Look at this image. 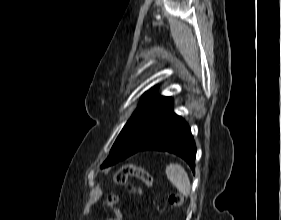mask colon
<instances>
[{"mask_svg":"<svg viewBox=\"0 0 281 220\" xmlns=\"http://www.w3.org/2000/svg\"><path fill=\"white\" fill-rule=\"evenodd\" d=\"M134 177L137 180L143 182L145 185L150 186L152 184V178L150 174L141 166L134 164H127L120 168L114 175V182L119 186H126L127 190L131 194H142V188L139 185L129 182V178ZM169 203L173 206H180L183 202V198L180 194H171L168 198ZM107 203L111 207L114 213V219L122 220V214L118 208V197L114 194H109L107 197Z\"/></svg>","mask_w":281,"mask_h":220,"instance_id":"colon-1","label":"colon"}]
</instances>
